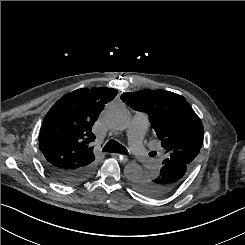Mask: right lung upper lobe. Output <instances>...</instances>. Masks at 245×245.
I'll use <instances>...</instances> for the list:
<instances>
[{"mask_svg":"<svg viewBox=\"0 0 245 245\" xmlns=\"http://www.w3.org/2000/svg\"><path fill=\"white\" fill-rule=\"evenodd\" d=\"M117 92L104 87L82 88L60 98L45 116L39 133L43 161L69 171L93 164L92 126Z\"/></svg>","mask_w":245,"mask_h":245,"instance_id":"obj_1","label":"right lung upper lobe"}]
</instances>
